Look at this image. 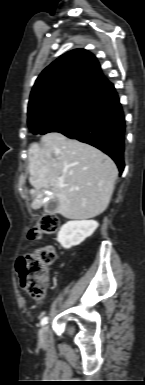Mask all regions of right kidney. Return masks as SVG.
Wrapping results in <instances>:
<instances>
[{
  "instance_id": "ca27d5eb",
  "label": "right kidney",
  "mask_w": 145,
  "mask_h": 385,
  "mask_svg": "<svg viewBox=\"0 0 145 385\" xmlns=\"http://www.w3.org/2000/svg\"><path fill=\"white\" fill-rule=\"evenodd\" d=\"M97 227L94 220L68 221L61 227L57 241L64 249H70L90 237Z\"/></svg>"
}]
</instances>
